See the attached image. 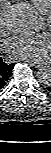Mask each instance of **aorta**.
I'll use <instances>...</instances> for the list:
<instances>
[{
  "mask_svg": "<svg viewBox=\"0 0 51 153\" xmlns=\"http://www.w3.org/2000/svg\"><path fill=\"white\" fill-rule=\"evenodd\" d=\"M7 26L18 34H31L36 32L41 24L37 10L28 2L13 5L6 14ZM38 81L49 86L51 84V67L43 66L37 71Z\"/></svg>",
  "mask_w": 51,
  "mask_h": 153,
  "instance_id": "762f6f07",
  "label": "aorta"
}]
</instances>
